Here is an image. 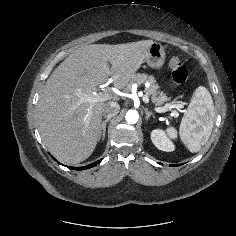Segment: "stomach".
Masks as SVG:
<instances>
[{"label": "stomach", "instance_id": "stomach-1", "mask_svg": "<svg viewBox=\"0 0 236 236\" xmlns=\"http://www.w3.org/2000/svg\"><path fill=\"white\" fill-rule=\"evenodd\" d=\"M146 63L152 68H161L165 62V49L161 43L153 42L147 51Z\"/></svg>", "mask_w": 236, "mask_h": 236}]
</instances>
